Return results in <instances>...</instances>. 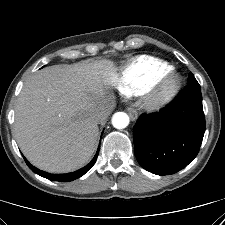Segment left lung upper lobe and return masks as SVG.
<instances>
[{
    "label": "left lung upper lobe",
    "mask_w": 225,
    "mask_h": 225,
    "mask_svg": "<svg viewBox=\"0 0 225 225\" xmlns=\"http://www.w3.org/2000/svg\"><path fill=\"white\" fill-rule=\"evenodd\" d=\"M188 85L200 87L199 83L197 82V80L195 79L192 73L189 74Z\"/></svg>",
    "instance_id": "left-lung-upper-lobe-1"
}]
</instances>
